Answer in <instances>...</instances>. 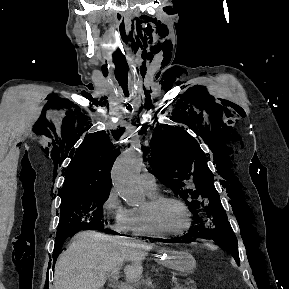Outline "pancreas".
Listing matches in <instances>:
<instances>
[{
    "label": "pancreas",
    "mask_w": 289,
    "mask_h": 289,
    "mask_svg": "<svg viewBox=\"0 0 289 289\" xmlns=\"http://www.w3.org/2000/svg\"><path fill=\"white\" fill-rule=\"evenodd\" d=\"M175 288H177V289H197L194 286H185V285H180V284H176Z\"/></svg>",
    "instance_id": "obj_1"
}]
</instances>
